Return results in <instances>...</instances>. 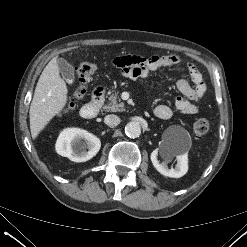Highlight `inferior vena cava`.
Listing matches in <instances>:
<instances>
[{
  "label": "inferior vena cava",
  "mask_w": 247,
  "mask_h": 247,
  "mask_svg": "<svg viewBox=\"0 0 247 247\" xmlns=\"http://www.w3.org/2000/svg\"><path fill=\"white\" fill-rule=\"evenodd\" d=\"M104 123L108 126H117L120 123V118L117 115L110 114L104 118Z\"/></svg>",
  "instance_id": "obj_1"
}]
</instances>
